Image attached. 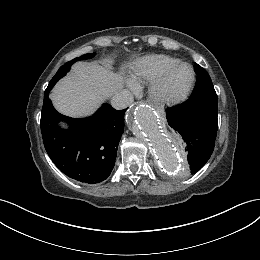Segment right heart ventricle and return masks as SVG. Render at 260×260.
<instances>
[{
  "label": "right heart ventricle",
  "mask_w": 260,
  "mask_h": 260,
  "mask_svg": "<svg viewBox=\"0 0 260 260\" xmlns=\"http://www.w3.org/2000/svg\"><path fill=\"white\" fill-rule=\"evenodd\" d=\"M179 59L165 54H153L139 58L129 70V79L133 84L154 80Z\"/></svg>",
  "instance_id": "1"
}]
</instances>
